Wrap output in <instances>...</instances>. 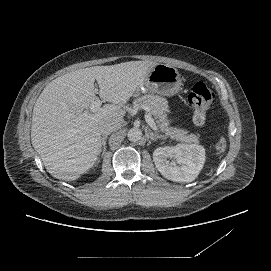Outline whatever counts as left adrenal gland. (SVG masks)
<instances>
[{"label":"left adrenal gland","instance_id":"left-adrenal-gland-1","mask_svg":"<svg viewBox=\"0 0 271 271\" xmlns=\"http://www.w3.org/2000/svg\"><path fill=\"white\" fill-rule=\"evenodd\" d=\"M156 140H164V138L150 132V141L153 142Z\"/></svg>","mask_w":271,"mask_h":271}]
</instances>
